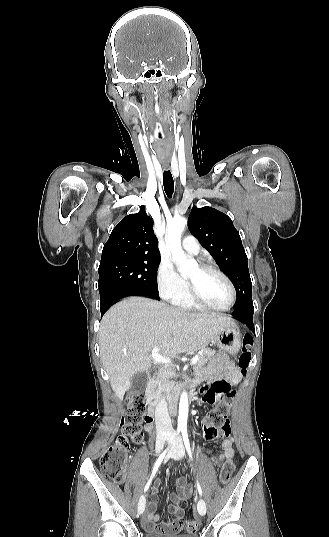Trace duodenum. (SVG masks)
<instances>
[{
	"label": "duodenum",
	"instance_id": "obj_1",
	"mask_svg": "<svg viewBox=\"0 0 329 537\" xmlns=\"http://www.w3.org/2000/svg\"><path fill=\"white\" fill-rule=\"evenodd\" d=\"M156 402L151 398L149 397L148 399V415L150 418H153V416L155 415V412H156Z\"/></svg>",
	"mask_w": 329,
	"mask_h": 537
}]
</instances>
